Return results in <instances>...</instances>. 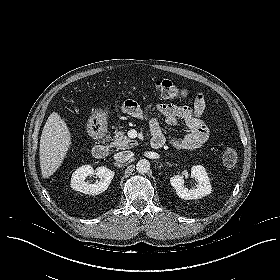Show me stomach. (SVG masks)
Here are the masks:
<instances>
[{"instance_id": "0dacf381", "label": "stomach", "mask_w": 280, "mask_h": 280, "mask_svg": "<svg viewBox=\"0 0 280 280\" xmlns=\"http://www.w3.org/2000/svg\"><path fill=\"white\" fill-rule=\"evenodd\" d=\"M104 118H105V113L103 112H96L95 114L92 115L89 124L90 126H96V125H101L104 123Z\"/></svg>"}]
</instances>
